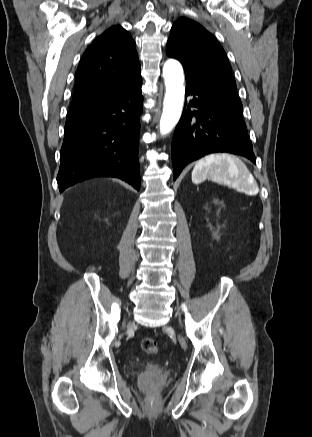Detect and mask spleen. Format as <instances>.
I'll use <instances>...</instances> for the list:
<instances>
[{
    "label": "spleen",
    "mask_w": 312,
    "mask_h": 437,
    "mask_svg": "<svg viewBox=\"0 0 312 437\" xmlns=\"http://www.w3.org/2000/svg\"><path fill=\"white\" fill-rule=\"evenodd\" d=\"M206 178L232 185L246 194H257L258 185L246 165L230 154H210L200 159L192 171L193 183Z\"/></svg>",
    "instance_id": "spleen-1"
}]
</instances>
